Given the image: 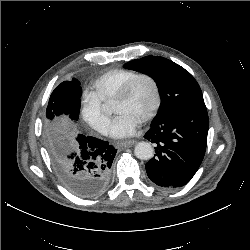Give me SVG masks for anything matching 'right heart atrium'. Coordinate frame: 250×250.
<instances>
[{
    "label": "right heart atrium",
    "mask_w": 250,
    "mask_h": 250,
    "mask_svg": "<svg viewBox=\"0 0 250 250\" xmlns=\"http://www.w3.org/2000/svg\"><path fill=\"white\" fill-rule=\"evenodd\" d=\"M80 114L82 120L100 134H105L109 128V118L101 103L89 93L81 101Z\"/></svg>",
    "instance_id": "1"
}]
</instances>
